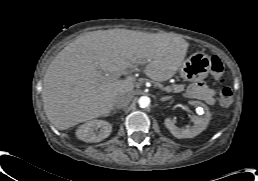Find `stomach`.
<instances>
[{"label":"stomach","mask_w":258,"mask_h":181,"mask_svg":"<svg viewBox=\"0 0 258 181\" xmlns=\"http://www.w3.org/2000/svg\"><path fill=\"white\" fill-rule=\"evenodd\" d=\"M210 67V57L203 52H196L183 61L179 74L185 81L193 82L206 78Z\"/></svg>","instance_id":"stomach-1"}]
</instances>
